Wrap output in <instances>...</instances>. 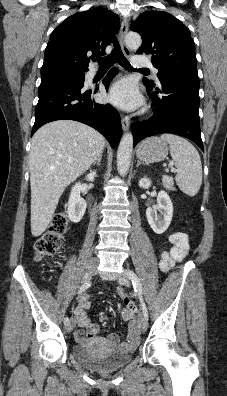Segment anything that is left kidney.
Listing matches in <instances>:
<instances>
[{"mask_svg": "<svg viewBox=\"0 0 227 396\" xmlns=\"http://www.w3.org/2000/svg\"><path fill=\"white\" fill-rule=\"evenodd\" d=\"M139 186L148 189L151 186V181L148 178H142L139 181ZM157 210L160 214H157ZM148 223L156 234L164 233L173 217V204L169 195L165 191H160L157 196V206L149 207L146 210Z\"/></svg>", "mask_w": 227, "mask_h": 396, "instance_id": "obj_1", "label": "left kidney"}]
</instances>
